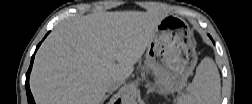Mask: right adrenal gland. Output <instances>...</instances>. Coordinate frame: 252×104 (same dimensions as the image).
Wrapping results in <instances>:
<instances>
[{"label": "right adrenal gland", "instance_id": "2a0ac1e0", "mask_svg": "<svg viewBox=\"0 0 252 104\" xmlns=\"http://www.w3.org/2000/svg\"><path fill=\"white\" fill-rule=\"evenodd\" d=\"M110 95H112V92H110V93H108L107 95H105V97H104V99H103V101H102V104L105 102V100H106L107 98H109Z\"/></svg>", "mask_w": 252, "mask_h": 104}]
</instances>
